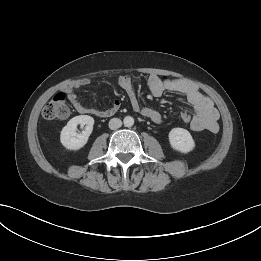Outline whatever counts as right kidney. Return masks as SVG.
Segmentation results:
<instances>
[{
  "mask_svg": "<svg viewBox=\"0 0 261 261\" xmlns=\"http://www.w3.org/2000/svg\"><path fill=\"white\" fill-rule=\"evenodd\" d=\"M85 126L82 133L77 134V126ZM94 119L88 115H79L70 119L67 125L62 129L60 141L62 145L69 150H79L88 141L89 136L93 131Z\"/></svg>",
  "mask_w": 261,
  "mask_h": 261,
  "instance_id": "right-kidney-1",
  "label": "right kidney"
}]
</instances>
